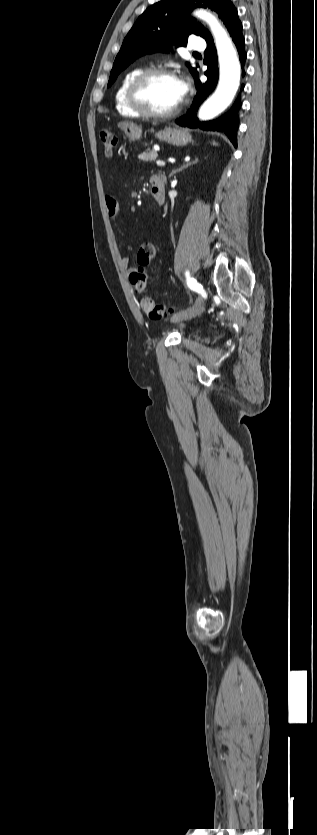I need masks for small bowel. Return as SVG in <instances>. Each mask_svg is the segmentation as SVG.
<instances>
[{
    "instance_id": "obj_1",
    "label": "small bowel",
    "mask_w": 317,
    "mask_h": 835,
    "mask_svg": "<svg viewBox=\"0 0 317 835\" xmlns=\"http://www.w3.org/2000/svg\"><path fill=\"white\" fill-rule=\"evenodd\" d=\"M154 179L161 180L159 178H154ZM105 204H106V209H107L108 215L112 218H115L119 213V204H118L117 200L113 196L107 195L106 198H105ZM151 248H154V246L150 243H143L140 246L138 254H137L138 263H140L141 261H146V260H148V264L151 262V260L148 259ZM120 261H121V265L124 268H126L127 270H129L130 273L135 270L130 266V259L128 257L123 256V257H121Z\"/></svg>"
}]
</instances>
